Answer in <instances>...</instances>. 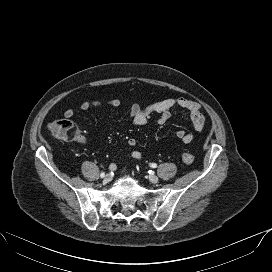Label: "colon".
Instances as JSON below:
<instances>
[{
  "label": "colon",
  "instance_id": "colon-1",
  "mask_svg": "<svg viewBox=\"0 0 272 272\" xmlns=\"http://www.w3.org/2000/svg\"><path fill=\"white\" fill-rule=\"evenodd\" d=\"M49 131L53 137L63 141H74L81 138L78 126L67 118H60L51 122ZM182 161L186 164H191L194 161L193 154L184 152Z\"/></svg>",
  "mask_w": 272,
  "mask_h": 272
}]
</instances>
